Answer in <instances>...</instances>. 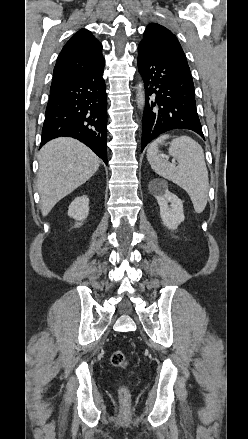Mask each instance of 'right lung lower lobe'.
I'll return each mask as SVG.
<instances>
[{
	"mask_svg": "<svg viewBox=\"0 0 248 439\" xmlns=\"http://www.w3.org/2000/svg\"><path fill=\"white\" fill-rule=\"evenodd\" d=\"M104 63L66 83L51 88L42 129V147L48 141L73 137L107 161V98Z\"/></svg>",
	"mask_w": 248,
	"mask_h": 439,
	"instance_id": "98d812e1",
	"label": "right lung lower lobe"
}]
</instances>
